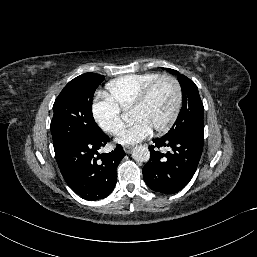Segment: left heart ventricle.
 Segmentation results:
<instances>
[{
    "label": "left heart ventricle",
    "instance_id": "1",
    "mask_svg": "<svg viewBox=\"0 0 257 257\" xmlns=\"http://www.w3.org/2000/svg\"><path fill=\"white\" fill-rule=\"evenodd\" d=\"M176 93L170 81H162L153 91L148 101L140 109L131 111L132 121L142 120L152 130L164 125L175 104Z\"/></svg>",
    "mask_w": 257,
    "mask_h": 257
}]
</instances>
